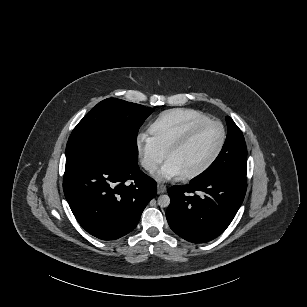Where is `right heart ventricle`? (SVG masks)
<instances>
[{
    "label": "right heart ventricle",
    "instance_id": "1",
    "mask_svg": "<svg viewBox=\"0 0 307 307\" xmlns=\"http://www.w3.org/2000/svg\"><path fill=\"white\" fill-rule=\"evenodd\" d=\"M207 121L209 118L206 115L193 109H170L159 114L149 126V131L164 152Z\"/></svg>",
    "mask_w": 307,
    "mask_h": 307
}]
</instances>
